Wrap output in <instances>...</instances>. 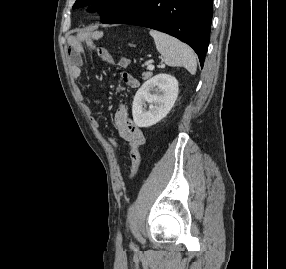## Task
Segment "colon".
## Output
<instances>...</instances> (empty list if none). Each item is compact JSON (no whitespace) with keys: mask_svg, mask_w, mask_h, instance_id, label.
Wrapping results in <instances>:
<instances>
[{"mask_svg":"<svg viewBox=\"0 0 286 269\" xmlns=\"http://www.w3.org/2000/svg\"><path fill=\"white\" fill-rule=\"evenodd\" d=\"M131 62H134V57L121 58L120 61H118V66H131ZM124 81L126 83H119V88H138L137 78H133L127 73L123 74Z\"/></svg>","mask_w":286,"mask_h":269,"instance_id":"5ec220e1","label":"colon"}]
</instances>
